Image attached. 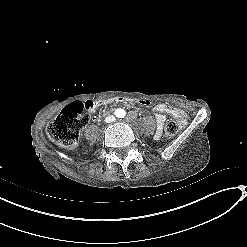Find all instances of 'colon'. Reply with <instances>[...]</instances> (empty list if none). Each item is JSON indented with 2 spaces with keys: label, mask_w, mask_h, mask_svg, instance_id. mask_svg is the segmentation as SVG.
I'll use <instances>...</instances> for the list:
<instances>
[{
  "label": "colon",
  "mask_w": 247,
  "mask_h": 247,
  "mask_svg": "<svg viewBox=\"0 0 247 247\" xmlns=\"http://www.w3.org/2000/svg\"><path fill=\"white\" fill-rule=\"evenodd\" d=\"M151 99L140 101L134 96L109 95L89 100L85 103L76 102L67 106L58 114L55 120L47 127L48 138L61 147L68 148L77 144L81 129L88 123L89 116L87 112H91L100 108L110 106H126L137 108L151 106ZM178 124L169 116L165 125V133L167 136H174L177 133Z\"/></svg>",
  "instance_id": "5ec220e1"
}]
</instances>
